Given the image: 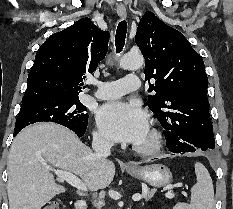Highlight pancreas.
<instances>
[{
  "mask_svg": "<svg viewBox=\"0 0 233 209\" xmlns=\"http://www.w3.org/2000/svg\"><path fill=\"white\" fill-rule=\"evenodd\" d=\"M152 196H153V192H150V193H148V194H146V195H143V198H144L146 201H148Z\"/></svg>",
  "mask_w": 233,
  "mask_h": 209,
  "instance_id": "obj_1",
  "label": "pancreas"
}]
</instances>
